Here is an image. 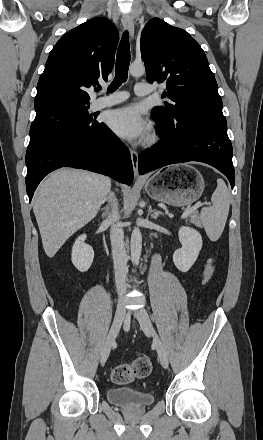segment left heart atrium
I'll return each mask as SVG.
<instances>
[{
    "instance_id": "left-heart-atrium-1",
    "label": "left heart atrium",
    "mask_w": 263,
    "mask_h": 440,
    "mask_svg": "<svg viewBox=\"0 0 263 440\" xmlns=\"http://www.w3.org/2000/svg\"><path fill=\"white\" fill-rule=\"evenodd\" d=\"M108 124L118 136L132 141L144 137L149 129L141 109L135 105L112 111L108 117Z\"/></svg>"
}]
</instances>
